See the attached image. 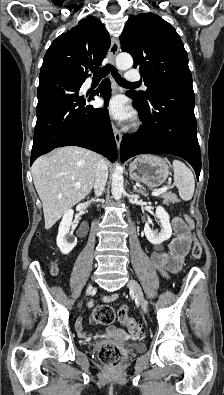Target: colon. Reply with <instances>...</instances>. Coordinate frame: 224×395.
Listing matches in <instances>:
<instances>
[{
	"instance_id": "1",
	"label": "colon",
	"mask_w": 224,
	"mask_h": 395,
	"mask_svg": "<svg viewBox=\"0 0 224 395\" xmlns=\"http://www.w3.org/2000/svg\"><path fill=\"white\" fill-rule=\"evenodd\" d=\"M184 219L187 228H190L192 226L190 217L185 215ZM191 254L194 259H199L202 255V246L196 239H193ZM116 318L128 329L132 336L138 337L141 335V326L129 315L126 305L121 306L116 312L110 305L103 304L94 308L91 313L92 322L99 325H111ZM97 357L102 363L116 367L122 361L123 354L116 346L100 345L97 349Z\"/></svg>"
}]
</instances>
